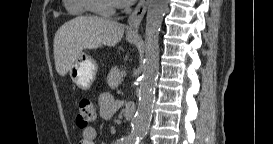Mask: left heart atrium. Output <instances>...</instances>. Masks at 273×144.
Segmentation results:
<instances>
[{"label": "left heart atrium", "instance_id": "left-heart-atrium-1", "mask_svg": "<svg viewBox=\"0 0 273 144\" xmlns=\"http://www.w3.org/2000/svg\"><path fill=\"white\" fill-rule=\"evenodd\" d=\"M135 0H112V3L117 6H128L132 4Z\"/></svg>", "mask_w": 273, "mask_h": 144}]
</instances>
